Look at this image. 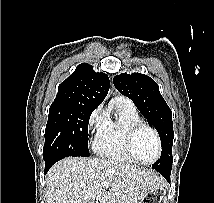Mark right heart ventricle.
<instances>
[{"mask_svg": "<svg viewBox=\"0 0 214 203\" xmlns=\"http://www.w3.org/2000/svg\"><path fill=\"white\" fill-rule=\"evenodd\" d=\"M114 117L107 116L104 128L96 135L95 152L106 159L136 164L128 154L125 146L128 129L142 122L134 104L126 97L118 96L112 102Z\"/></svg>", "mask_w": 214, "mask_h": 203, "instance_id": "right-heart-ventricle-1", "label": "right heart ventricle"}]
</instances>
